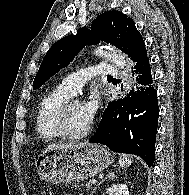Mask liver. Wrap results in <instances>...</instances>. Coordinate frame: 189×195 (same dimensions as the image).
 Instances as JSON below:
<instances>
[{
  "instance_id": "6515ba94",
  "label": "liver",
  "mask_w": 189,
  "mask_h": 195,
  "mask_svg": "<svg viewBox=\"0 0 189 195\" xmlns=\"http://www.w3.org/2000/svg\"><path fill=\"white\" fill-rule=\"evenodd\" d=\"M84 145V143H79V144H49L44 152H48L51 150H58V149H65V148H72V147H78V146H82Z\"/></svg>"
}]
</instances>
